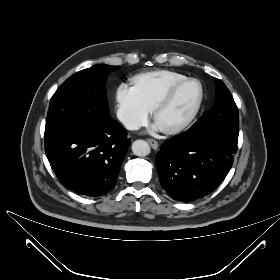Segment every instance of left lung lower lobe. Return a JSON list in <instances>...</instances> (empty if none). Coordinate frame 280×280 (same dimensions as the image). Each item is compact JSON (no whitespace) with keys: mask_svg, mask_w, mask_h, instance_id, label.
Here are the masks:
<instances>
[{"mask_svg":"<svg viewBox=\"0 0 280 280\" xmlns=\"http://www.w3.org/2000/svg\"><path fill=\"white\" fill-rule=\"evenodd\" d=\"M237 143L207 130H188L166 140L156 156L163 189L190 202L212 193L232 167Z\"/></svg>","mask_w":280,"mask_h":280,"instance_id":"0a47b994","label":"left lung lower lobe"}]
</instances>
